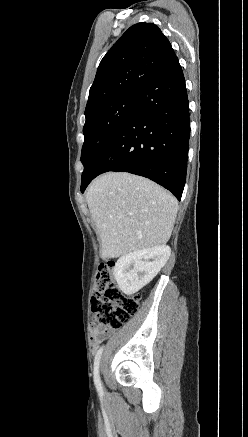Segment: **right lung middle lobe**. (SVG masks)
Wrapping results in <instances>:
<instances>
[{
  "label": "right lung middle lobe",
  "mask_w": 248,
  "mask_h": 437,
  "mask_svg": "<svg viewBox=\"0 0 248 437\" xmlns=\"http://www.w3.org/2000/svg\"><path fill=\"white\" fill-rule=\"evenodd\" d=\"M138 93L121 95L86 115L83 127L85 141L81 152L84 178L101 149L116 133L132 110Z\"/></svg>",
  "instance_id": "1"
}]
</instances>
